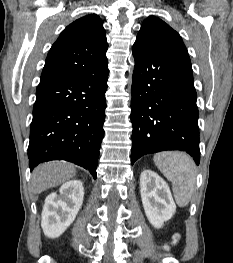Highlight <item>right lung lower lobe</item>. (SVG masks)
Masks as SVG:
<instances>
[{
  "label": "right lung lower lobe",
  "instance_id": "obj_1",
  "mask_svg": "<svg viewBox=\"0 0 233 263\" xmlns=\"http://www.w3.org/2000/svg\"><path fill=\"white\" fill-rule=\"evenodd\" d=\"M107 63L84 77L37 86L28 147L31 170L39 163L63 159L88 169L96 179L104 136Z\"/></svg>",
  "mask_w": 233,
  "mask_h": 263
}]
</instances>
